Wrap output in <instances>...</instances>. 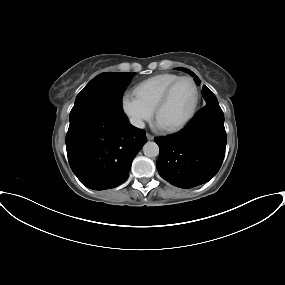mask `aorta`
<instances>
[{"label": "aorta", "instance_id": "762f6f07", "mask_svg": "<svg viewBox=\"0 0 285 285\" xmlns=\"http://www.w3.org/2000/svg\"><path fill=\"white\" fill-rule=\"evenodd\" d=\"M143 153L147 157H156L159 155V146L155 142H147L143 146Z\"/></svg>", "mask_w": 285, "mask_h": 285}]
</instances>
